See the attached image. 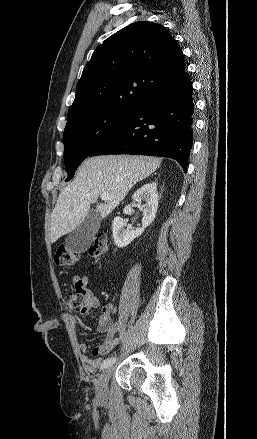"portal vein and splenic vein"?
I'll return each instance as SVG.
<instances>
[{"label":"portal vein and splenic vein","mask_w":257,"mask_h":439,"mask_svg":"<svg viewBox=\"0 0 257 439\" xmlns=\"http://www.w3.org/2000/svg\"><path fill=\"white\" fill-rule=\"evenodd\" d=\"M100 198H101L102 200H104V201H108V200H111V199H112V197H111L109 194H106V193L101 194V195H100Z\"/></svg>","instance_id":"18ae733b"}]
</instances>
